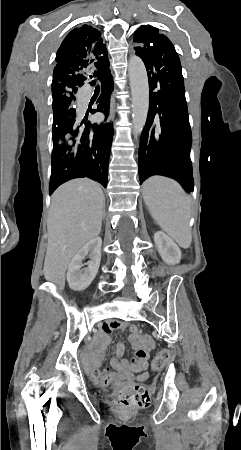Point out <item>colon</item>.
<instances>
[{"instance_id":"obj_1","label":"colon","mask_w":241,"mask_h":450,"mask_svg":"<svg viewBox=\"0 0 241 450\" xmlns=\"http://www.w3.org/2000/svg\"><path fill=\"white\" fill-rule=\"evenodd\" d=\"M169 358L167 351H162L160 356L153 361V369L163 367ZM118 404L128 410H143L150 407V397L147 389L143 386H131L121 388L117 395Z\"/></svg>"}]
</instances>
